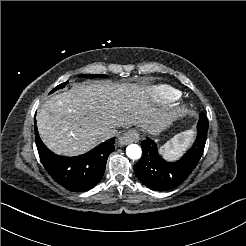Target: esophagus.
I'll list each match as a JSON object with an SVG mask.
<instances>
[{
  "instance_id": "obj_1",
  "label": "esophagus",
  "mask_w": 246,
  "mask_h": 246,
  "mask_svg": "<svg viewBox=\"0 0 246 246\" xmlns=\"http://www.w3.org/2000/svg\"><path fill=\"white\" fill-rule=\"evenodd\" d=\"M140 140L139 132L136 129H130L118 138L116 145L122 147L129 143H137Z\"/></svg>"
}]
</instances>
